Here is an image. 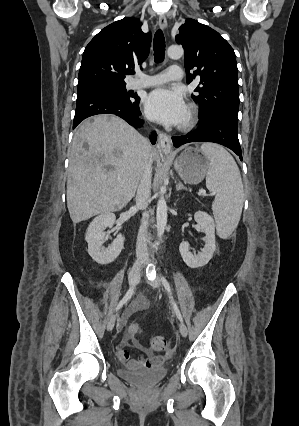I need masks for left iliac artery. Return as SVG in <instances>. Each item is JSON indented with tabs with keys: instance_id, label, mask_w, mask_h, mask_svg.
<instances>
[{
	"instance_id": "obj_1",
	"label": "left iliac artery",
	"mask_w": 299,
	"mask_h": 426,
	"mask_svg": "<svg viewBox=\"0 0 299 426\" xmlns=\"http://www.w3.org/2000/svg\"><path fill=\"white\" fill-rule=\"evenodd\" d=\"M146 272H147V274L149 276V279H152V277H153L152 270L151 269L150 270L147 269ZM161 282H162L164 288L166 289V291L169 293L170 297L172 298V305H173V309H174V311L176 313L177 318L182 322L183 318H182V315L180 313V310H179L177 304L173 300L172 292H171V287H170L169 282L167 281V279L164 276H161Z\"/></svg>"
}]
</instances>
